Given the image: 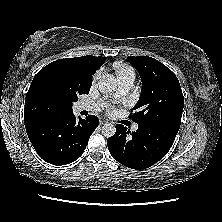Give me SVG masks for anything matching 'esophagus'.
Wrapping results in <instances>:
<instances>
[{
	"label": "esophagus",
	"instance_id": "obj_1",
	"mask_svg": "<svg viewBox=\"0 0 222 222\" xmlns=\"http://www.w3.org/2000/svg\"><path fill=\"white\" fill-rule=\"evenodd\" d=\"M105 123H107L106 120H101V121H100V124H101V125H103V124H105Z\"/></svg>",
	"mask_w": 222,
	"mask_h": 222
}]
</instances>
